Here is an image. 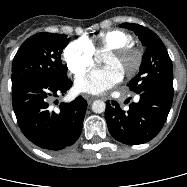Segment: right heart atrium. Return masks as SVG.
Listing matches in <instances>:
<instances>
[{
	"mask_svg": "<svg viewBox=\"0 0 187 187\" xmlns=\"http://www.w3.org/2000/svg\"><path fill=\"white\" fill-rule=\"evenodd\" d=\"M95 52L86 39L71 42L64 50L63 59L68 70L75 76L87 71L94 63Z\"/></svg>",
	"mask_w": 187,
	"mask_h": 187,
	"instance_id": "right-heart-atrium-1",
	"label": "right heart atrium"
}]
</instances>
